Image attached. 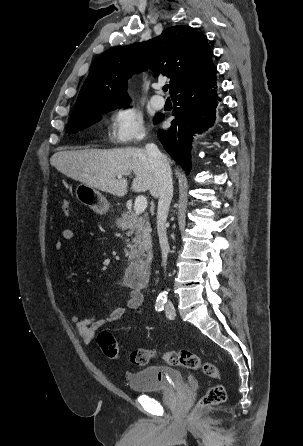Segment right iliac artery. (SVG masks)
<instances>
[{"label":"right iliac artery","mask_w":303,"mask_h":446,"mask_svg":"<svg viewBox=\"0 0 303 446\" xmlns=\"http://www.w3.org/2000/svg\"><path fill=\"white\" fill-rule=\"evenodd\" d=\"M166 300L164 299H157L156 304H155V309L158 312H161L164 309Z\"/></svg>","instance_id":"right-iliac-artery-1"}]
</instances>
